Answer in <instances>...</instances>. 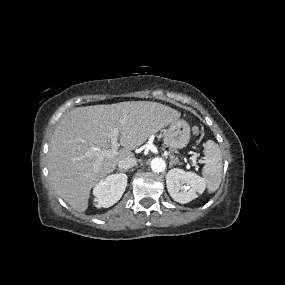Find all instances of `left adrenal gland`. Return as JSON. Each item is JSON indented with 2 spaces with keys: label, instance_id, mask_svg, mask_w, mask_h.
I'll use <instances>...</instances> for the list:
<instances>
[{
  "label": "left adrenal gland",
  "instance_id": "a2214340",
  "mask_svg": "<svg viewBox=\"0 0 285 285\" xmlns=\"http://www.w3.org/2000/svg\"><path fill=\"white\" fill-rule=\"evenodd\" d=\"M175 164H181V163L179 162L177 157H175L174 155H170V163H169L170 167H172Z\"/></svg>",
  "mask_w": 285,
  "mask_h": 285
}]
</instances>
